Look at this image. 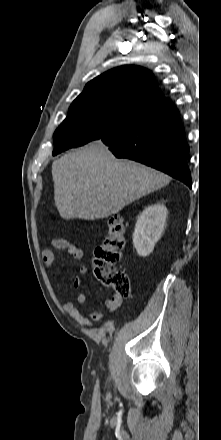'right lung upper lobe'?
<instances>
[{
    "label": "right lung upper lobe",
    "mask_w": 221,
    "mask_h": 440,
    "mask_svg": "<svg viewBox=\"0 0 221 440\" xmlns=\"http://www.w3.org/2000/svg\"><path fill=\"white\" fill-rule=\"evenodd\" d=\"M163 97L150 71L139 66H122L87 83L74 102L109 101L137 111Z\"/></svg>",
    "instance_id": "right-lung-upper-lobe-1"
}]
</instances>
